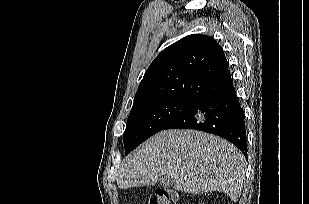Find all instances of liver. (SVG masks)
Returning <instances> with one entry per match:
<instances>
[{
  "mask_svg": "<svg viewBox=\"0 0 309 204\" xmlns=\"http://www.w3.org/2000/svg\"><path fill=\"white\" fill-rule=\"evenodd\" d=\"M245 169L243 154L218 136L196 130H165L126 157L117 184L120 189L151 186L167 175L178 191H220L236 202Z\"/></svg>",
  "mask_w": 309,
  "mask_h": 204,
  "instance_id": "1",
  "label": "liver"
}]
</instances>
